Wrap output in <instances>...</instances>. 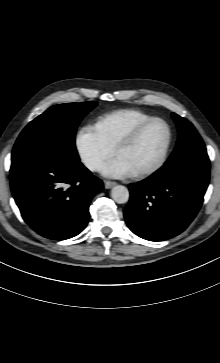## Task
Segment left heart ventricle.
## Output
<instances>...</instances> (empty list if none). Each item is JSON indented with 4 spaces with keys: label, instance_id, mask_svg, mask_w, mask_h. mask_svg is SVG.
<instances>
[{
    "label": "left heart ventricle",
    "instance_id": "obj_1",
    "mask_svg": "<svg viewBox=\"0 0 220 363\" xmlns=\"http://www.w3.org/2000/svg\"><path fill=\"white\" fill-rule=\"evenodd\" d=\"M167 140V131L163 124L154 123L148 126L129 146L121 149V157L134 172L154 165L159 159Z\"/></svg>",
    "mask_w": 220,
    "mask_h": 363
}]
</instances>
